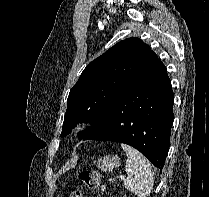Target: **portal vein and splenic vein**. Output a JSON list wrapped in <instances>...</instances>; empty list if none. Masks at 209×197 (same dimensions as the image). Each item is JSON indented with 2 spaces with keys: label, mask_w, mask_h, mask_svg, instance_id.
I'll return each mask as SVG.
<instances>
[{
  "label": "portal vein and splenic vein",
  "mask_w": 209,
  "mask_h": 197,
  "mask_svg": "<svg viewBox=\"0 0 209 197\" xmlns=\"http://www.w3.org/2000/svg\"><path fill=\"white\" fill-rule=\"evenodd\" d=\"M124 178H125V176H124V175H120V176H118V179L123 180Z\"/></svg>",
  "instance_id": "portal-vein-and-splenic-vein-1"
}]
</instances>
